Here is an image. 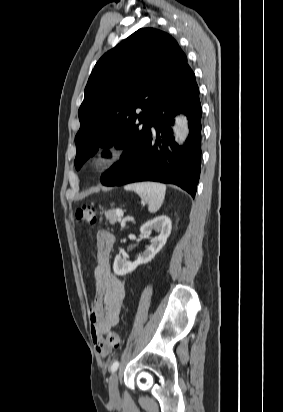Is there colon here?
<instances>
[{
	"label": "colon",
	"mask_w": 283,
	"mask_h": 412,
	"mask_svg": "<svg viewBox=\"0 0 283 412\" xmlns=\"http://www.w3.org/2000/svg\"><path fill=\"white\" fill-rule=\"evenodd\" d=\"M75 219L78 224L93 226L96 222V209L88 204L81 205L75 210ZM120 346V337L116 333H109L101 342L103 350L116 349Z\"/></svg>",
	"instance_id": "1"
}]
</instances>
